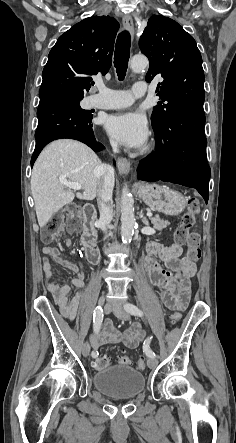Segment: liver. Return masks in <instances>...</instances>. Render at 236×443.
I'll return each mask as SVG.
<instances>
[{
  "mask_svg": "<svg viewBox=\"0 0 236 443\" xmlns=\"http://www.w3.org/2000/svg\"><path fill=\"white\" fill-rule=\"evenodd\" d=\"M101 165L88 146L75 140H56L41 152L31 176V192L41 228L75 196L83 200L95 199L100 186L97 169ZM60 178L81 184L83 193L66 190Z\"/></svg>",
  "mask_w": 236,
  "mask_h": 443,
  "instance_id": "obj_1",
  "label": "liver"
}]
</instances>
